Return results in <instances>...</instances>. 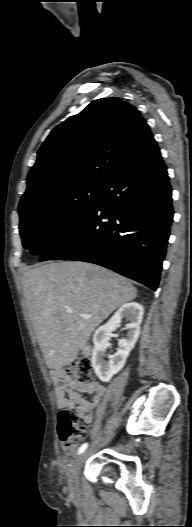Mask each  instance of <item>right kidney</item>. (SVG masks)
Masks as SVG:
<instances>
[{
  "mask_svg": "<svg viewBox=\"0 0 192 527\" xmlns=\"http://www.w3.org/2000/svg\"><path fill=\"white\" fill-rule=\"evenodd\" d=\"M144 309L142 305L131 302L122 305L109 321L99 327L94 335V349L92 353V367L102 382H108L113 375L118 373L125 365L129 353L134 348L140 334V324L143 319ZM123 318L129 323L125 329L128 330L126 337L118 341L119 349L117 353L109 356V360H104L106 346L110 333L120 326Z\"/></svg>",
  "mask_w": 192,
  "mask_h": 527,
  "instance_id": "ca27d5eb",
  "label": "right kidney"
}]
</instances>
